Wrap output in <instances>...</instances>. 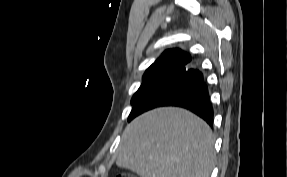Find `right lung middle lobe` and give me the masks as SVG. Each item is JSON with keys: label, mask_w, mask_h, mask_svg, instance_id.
<instances>
[{"label": "right lung middle lobe", "mask_w": 287, "mask_h": 177, "mask_svg": "<svg viewBox=\"0 0 287 177\" xmlns=\"http://www.w3.org/2000/svg\"><path fill=\"white\" fill-rule=\"evenodd\" d=\"M181 67V62L176 60L165 61L158 64H152L145 72L143 76V82L138 91L133 95L131 103L134 104L146 90L159 78L166 73ZM133 113L131 112L128 121L132 119Z\"/></svg>", "instance_id": "right-lung-middle-lobe-1"}]
</instances>
